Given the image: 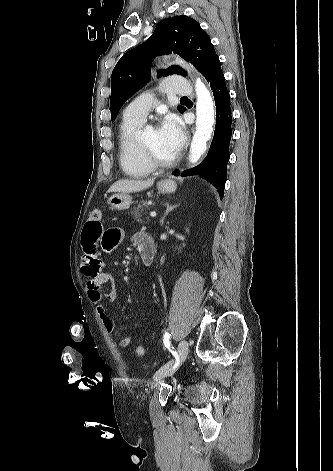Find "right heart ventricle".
I'll use <instances>...</instances> for the list:
<instances>
[{"label": "right heart ventricle", "mask_w": 333, "mask_h": 471, "mask_svg": "<svg viewBox=\"0 0 333 471\" xmlns=\"http://www.w3.org/2000/svg\"><path fill=\"white\" fill-rule=\"evenodd\" d=\"M143 120L123 117L118 134V157L123 172L133 178L150 175L154 167L141 151L138 131Z\"/></svg>", "instance_id": "e07e8e85"}]
</instances>
